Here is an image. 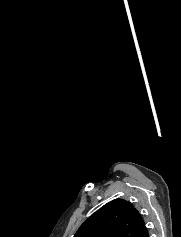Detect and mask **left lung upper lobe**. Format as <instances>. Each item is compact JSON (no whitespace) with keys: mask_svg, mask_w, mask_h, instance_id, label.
<instances>
[{"mask_svg":"<svg viewBox=\"0 0 181 237\" xmlns=\"http://www.w3.org/2000/svg\"><path fill=\"white\" fill-rule=\"evenodd\" d=\"M146 229L132 203L115 199L87 218L74 237H141Z\"/></svg>","mask_w":181,"mask_h":237,"instance_id":"5c2ea615","label":"left lung upper lobe"}]
</instances>
